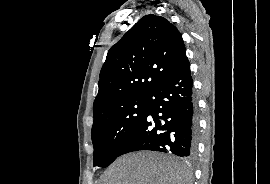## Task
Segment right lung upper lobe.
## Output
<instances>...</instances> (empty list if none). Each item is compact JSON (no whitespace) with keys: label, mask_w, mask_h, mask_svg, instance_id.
Here are the masks:
<instances>
[{"label":"right lung upper lobe","mask_w":270,"mask_h":184,"mask_svg":"<svg viewBox=\"0 0 270 184\" xmlns=\"http://www.w3.org/2000/svg\"><path fill=\"white\" fill-rule=\"evenodd\" d=\"M186 57L178 29L163 17L141 18L108 51L93 104L94 122L122 103L147 97Z\"/></svg>","instance_id":"cb5924a9"}]
</instances>
